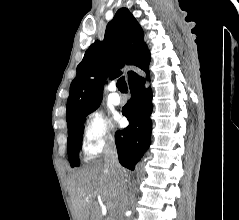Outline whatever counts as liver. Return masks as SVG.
<instances>
[{
  "mask_svg": "<svg viewBox=\"0 0 239 220\" xmlns=\"http://www.w3.org/2000/svg\"><path fill=\"white\" fill-rule=\"evenodd\" d=\"M122 174L124 177V169ZM68 189L77 220H103V201L112 204L119 216L122 213L117 175L105 163H98L73 173Z\"/></svg>",
  "mask_w": 239,
  "mask_h": 220,
  "instance_id": "liver-1",
  "label": "liver"
}]
</instances>
